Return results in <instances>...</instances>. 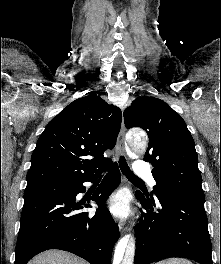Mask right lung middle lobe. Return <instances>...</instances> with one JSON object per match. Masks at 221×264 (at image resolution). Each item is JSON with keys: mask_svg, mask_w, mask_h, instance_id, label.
<instances>
[{"mask_svg": "<svg viewBox=\"0 0 221 264\" xmlns=\"http://www.w3.org/2000/svg\"><path fill=\"white\" fill-rule=\"evenodd\" d=\"M66 187H68V184L66 182H56V183L47 184V185H44L38 188L25 190V192L36 191V190H41V189H55V188H66Z\"/></svg>", "mask_w": 221, "mask_h": 264, "instance_id": "1", "label": "right lung middle lobe"}]
</instances>
